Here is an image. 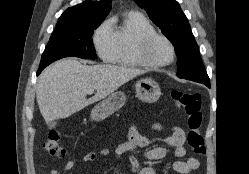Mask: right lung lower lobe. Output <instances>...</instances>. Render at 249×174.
<instances>
[{
	"mask_svg": "<svg viewBox=\"0 0 249 174\" xmlns=\"http://www.w3.org/2000/svg\"><path fill=\"white\" fill-rule=\"evenodd\" d=\"M41 70H43V69L39 68V70L37 71V75L41 72Z\"/></svg>",
	"mask_w": 249,
	"mask_h": 174,
	"instance_id": "right-lung-lower-lobe-1",
	"label": "right lung lower lobe"
}]
</instances>
